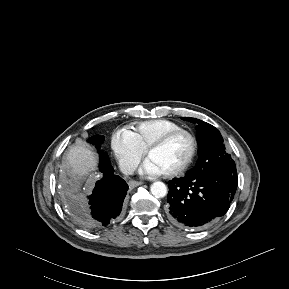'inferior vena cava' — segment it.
<instances>
[{
    "label": "inferior vena cava",
    "instance_id": "inferior-vena-cava-1",
    "mask_svg": "<svg viewBox=\"0 0 289 289\" xmlns=\"http://www.w3.org/2000/svg\"><path fill=\"white\" fill-rule=\"evenodd\" d=\"M136 168L137 166L134 163H125L120 167L121 171L126 175L134 174Z\"/></svg>",
    "mask_w": 289,
    "mask_h": 289
}]
</instances>
